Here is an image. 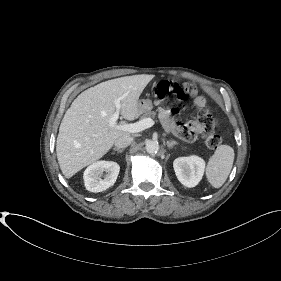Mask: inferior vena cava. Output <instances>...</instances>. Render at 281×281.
Masks as SVG:
<instances>
[{
	"instance_id": "602c4592",
	"label": "inferior vena cava",
	"mask_w": 281,
	"mask_h": 281,
	"mask_svg": "<svg viewBox=\"0 0 281 281\" xmlns=\"http://www.w3.org/2000/svg\"><path fill=\"white\" fill-rule=\"evenodd\" d=\"M132 141L133 138L131 136L125 135L117 138L114 144L117 148H126L132 143Z\"/></svg>"
}]
</instances>
